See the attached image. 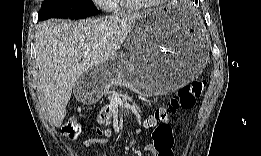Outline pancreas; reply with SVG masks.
Masks as SVG:
<instances>
[{
  "mask_svg": "<svg viewBox=\"0 0 261 156\" xmlns=\"http://www.w3.org/2000/svg\"><path fill=\"white\" fill-rule=\"evenodd\" d=\"M129 71H130L131 73H133V72H134V68H130Z\"/></svg>",
  "mask_w": 261,
  "mask_h": 156,
  "instance_id": "pancreas-1",
  "label": "pancreas"
}]
</instances>
